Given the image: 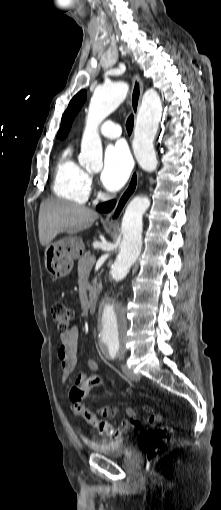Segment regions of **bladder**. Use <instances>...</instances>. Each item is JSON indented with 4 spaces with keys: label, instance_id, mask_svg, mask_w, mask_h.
Returning <instances> with one entry per match:
<instances>
[{
    "label": "bladder",
    "instance_id": "bladder-1",
    "mask_svg": "<svg viewBox=\"0 0 221 510\" xmlns=\"http://www.w3.org/2000/svg\"><path fill=\"white\" fill-rule=\"evenodd\" d=\"M134 439L135 437L129 434L117 441L101 440L92 443L89 448L94 452L106 455L108 457L118 458L130 453L134 447Z\"/></svg>",
    "mask_w": 221,
    "mask_h": 510
}]
</instances>
